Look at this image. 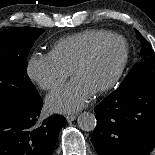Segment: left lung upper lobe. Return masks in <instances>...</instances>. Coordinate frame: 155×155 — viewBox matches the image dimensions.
<instances>
[{"instance_id": "obj_1", "label": "left lung upper lobe", "mask_w": 155, "mask_h": 155, "mask_svg": "<svg viewBox=\"0 0 155 155\" xmlns=\"http://www.w3.org/2000/svg\"><path fill=\"white\" fill-rule=\"evenodd\" d=\"M135 32L142 46L139 53L141 60L133 66L120 87L132 85L149 74L155 73V52L148 41L137 30Z\"/></svg>"}]
</instances>
